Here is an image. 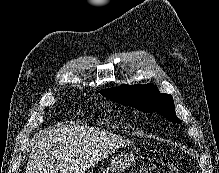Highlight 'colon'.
Returning <instances> with one entry per match:
<instances>
[{
    "mask_svg": "<svg viewBox=\"0 0 219 173\" xmlns=\"http://www.w3.org/2000/svg\"><path fill=\"white\" fill-rule=\"evenodd\" d=\"M139 173H183V171L173 159H158L150 161Z\"/></svg>",
    "mask_w": 219,
    "mask_h": 173,
    "instance_id": "5ec220e1",
    "label": "colon"
}]
</instances>
